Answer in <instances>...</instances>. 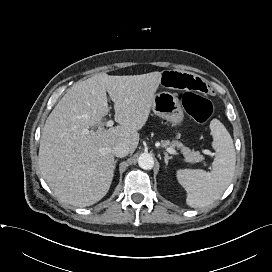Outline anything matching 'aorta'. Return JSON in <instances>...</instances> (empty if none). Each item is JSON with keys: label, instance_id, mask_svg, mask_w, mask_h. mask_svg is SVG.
I'll list each match as a JSON object with an SVG mask.
<instances>
[{"label": "aorta", "instance_id": "aorta-1", "mask_svg": "<svg viewBox=\"0 0 272 272\" xmlns=\"http://www.w3.org/2000/svg\"><path fill=\"white\" fill-rule=\"evenodd\" d=\"M138 164L144 170H151L154 167V159L149 153H142L138 157Z\"/></svg>", "mask_w": 272, "mask_h": 272}]
</instances>
